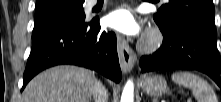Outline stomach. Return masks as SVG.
I'll return each instance as SVG.
<instances>
[{"mask_svg": "<svg viewBox=\"0 0 221 102\" xmlns=\"http://www.w3.org/2000/svg\"><path fill=\"white\" fill-rule=\"evenodd\" d=\"M142 87L146 94L150 96H161L168 91L166 80L159 75L147 76Z\"/></svg>", "mask_w": 221, "mask_h": 102, "instance_id": "0dacf381", "label": "stomach"}]
</instances>
